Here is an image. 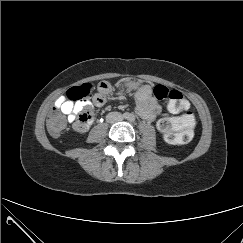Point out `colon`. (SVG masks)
Segmentation results:
<instances>
[{
    "label": "colon",
    "instance_id": "5ec220e1",
    "mask_svg": "<svg viewBox=\"0 0 243 243\" xmlns=\"http://www.w3.org/2000/svg\"><path fill=\"white\" fill-rule=\"evenodd\" d=\"M111 86L107 81H101L96 86V91L106 94L110 91ZM94 86L92 83H83L72 87L67 92L68 99L76 102H87L95 98L93 94ZM96 92V93H97ZM157 99H168L169 110L174 114H180L176 117L163 118L158 121V130L162 133L168 143L185 144L188 143L194 134L195 119L189 111V103L181 92L169 90L165 86L157 85L153 90ZM92 120L90 111H83L76 120L74 127L82 130L87 127ZM65 127V121L56 112L51 113L47 118V128L52 136H59Z\"/></svg>",
    "mask_w": 243,
    "mask_h": 243
}]
</instances>
